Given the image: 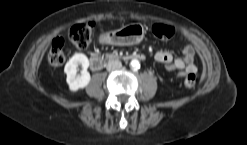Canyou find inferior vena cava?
<instances>
[{
  "label": "inferior vena cava",
  "mask_w": 247,
  "mask_h": 145,
  "mask_svg": "<svg viewBox=\"0 0 247 145\" xmlns=\"http://www.w3.org/2000/svg\"><path fill=\"white\" fill-rule=\"evenodd\" d=\"M122 68V63L118 60L109 61L106 64L107 71H115Z\"/></svg>",
  "instance_id": "1"
}]
</instances>
